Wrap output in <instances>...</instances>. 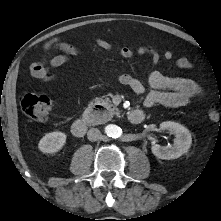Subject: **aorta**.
<instances>
[{
  "label": "aorta",
  "instance_id": "aorta-1",
  "mask_svg": "<svg viewBox=\"0 0 221 221\" xmlns=\"http://www.w3.org/2000/svg\"><path fill=\"white\" fill-rule=\"evenodd\" d=\"M105 132L109 137L117 138L121 134V129L116 125H108L105 128Z\"/></svg>",
  "mask_w": 221,
  "mask_h": 221
}]
</instances>
